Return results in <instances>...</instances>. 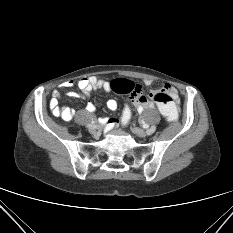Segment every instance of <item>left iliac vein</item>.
<instances>
[{"label":"left iliac vein","instance_id":"left-iliac-vein-1","mask_svg":"<svg viewBox=\"0 0 233 233\" xmlns=\"http://www.w3.org/2000/svg\"><path fill=\"white\" fill-rule=\"evenodd\" d=\"M132 131L139 137H145L147 135V132L140 128H133Z\"/></svg>","mask_w":233,"mask_h":233}]
</instances>
